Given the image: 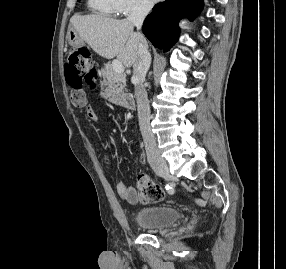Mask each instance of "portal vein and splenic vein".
<instances>
[{
  "mask_svg": "<svg viewBox=\"0 0 286 269\" xmlns=\"http://www.w3.org/2000/svg\"><path fill=\"white\" fill-rule=\"evenodd\" d=\"M112 66H113V69L116 71V72H124V66H123V64H122V62L121 61H119V60H114L113 62H112Z\"/></svg>",
  "mask_w": 286,
  "mask_h": 269,
  "instance_id": "1",
  "label": "portal vein and splenic vein"
}]
</instances>
